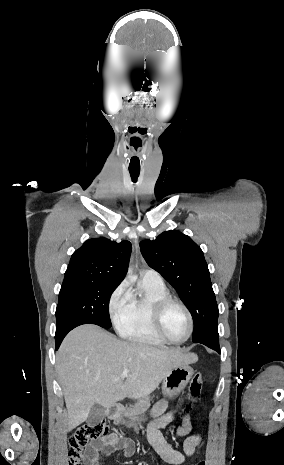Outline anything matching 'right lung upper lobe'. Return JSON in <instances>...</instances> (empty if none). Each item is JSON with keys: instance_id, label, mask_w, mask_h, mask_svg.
Instances as JSON below:
<instances>
[{"instance_id": "obj_1", "label": "right lung upper lobe", "mask_w": 284, "mask_h": 465, "mask_svg": "<svg viewBox=\"0 0 284 465\" xmlns=\"http://www.w3.org/2000/svg\"><path fill=\"white\" fill-rule=\"evenodd\" d=\"M131 249L129 241L89 239L72 254L64 279H91L118 286L126 275Z\"/></svg>"}]
</instances>
